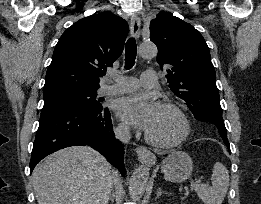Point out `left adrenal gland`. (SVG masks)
Masks as SVG:
<instances>
[{"label": "left adrenal gland", "instance_id": "1", "mask_svg": "<svg viewBox=\"0 0 261 204\" xmlns=\"http://www.w3.org/2000/svg\"><path fill=\"white\" fill-rule=\"evenodd\" d=\"M167 194L166 191H163L160 187L158 188L157 194H156V198H159L162 194Z\"/></svg>", "mask_w": 261, "mask_h": 204}]
</instances>
